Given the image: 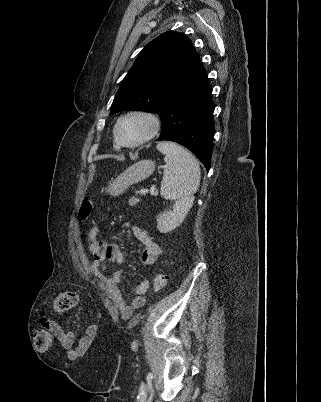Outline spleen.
<instances>
[{"instance_id":"1","label":"spleen","mask_w":321,"mask_h":402,"mask_svg":"<svg viewBox=\"0 0 321 402\" xmlns=\"http://www.w3.org/2000/svg\"><path fill=\"white\" fill-rule=\"evenodd\" d=\"M157 149L165 155L166 167L161 182V196L174 200L172 211L160 214L158 229L168 232L178 226L193 205L200 184V167L195 157L180 145L162 141Z\"/></svg>"}]
</instances>
